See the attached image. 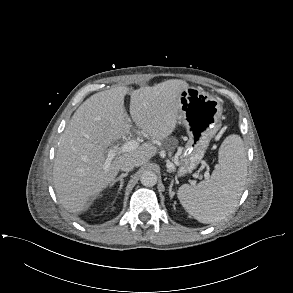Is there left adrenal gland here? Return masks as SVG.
I'll return each mask as SVG.
<instances>
[{
	"label": "left adrenal gland",
	"instance_id": "obj_1",
	"mask_svg": "<svg viewBox=\"0 0 293 293\" xmlns=\"http://www.w3.org/2000/svg\"><path fill=\"white\" fill-rule=\"evenodd\" d=\"M172 187H173V181L171 182L170 186H169V194H170V197L173 198L174 196V192L172 191Z\"/></svg>",
	"mask_w": 293,
	"mask_h": 293
}]
</instances>
